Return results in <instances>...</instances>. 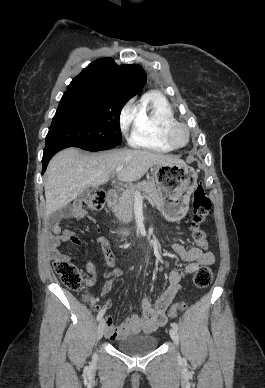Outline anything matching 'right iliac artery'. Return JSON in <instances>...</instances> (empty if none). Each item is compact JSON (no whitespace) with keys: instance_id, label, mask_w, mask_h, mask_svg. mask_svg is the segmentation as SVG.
<instances>
[{"instance_id":"82829eb1","label":"right iliac artery","mask_w":265,"mask_h":388,"mask_svg":"<svg viewBox=\"0 0 265 388\" xmlns=\"http://www.w3.org/2000/svg\"><path fill=\"white\" fill-rule=\"evenodd\" d=\"M105 314V310H101L98 315H97V320L100 321L103 317V315Z\"/></svg>"}]
</instances>
